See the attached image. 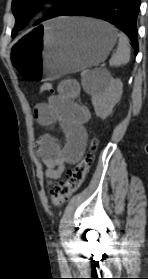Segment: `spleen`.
<instances>
[{
	"instance_id": "3e777b00",
	"label": "spleen",
	"mask_w": 148,
	"mask_h": 279,
	"mask_svg": "<svg viewBox=\"0 0 148 279\" xmlns=\"http://www.w3.org/2000/svg\"><path fill=\"white\" fill-rule=\"evenodd\" d=\"M117 36L119 37V42L116 52L110 59L109 63L111 66L125 65L130 60V45L128 38L124 33H118ZM100 75V72L97 70L88 74V76L82 80L84 89L90 93L96 91Z\"/></svg>"
}]
</instances>
